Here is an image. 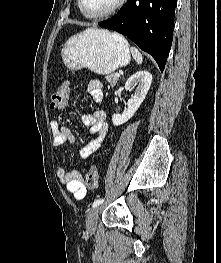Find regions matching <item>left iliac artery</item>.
Masks as SVG:
<instances>
[{
  "instance_id": "obj_1",
  "label": "left iliac artery",
  "mask_w": 221,
  "mask_h": 263,
  "mask_svg": "<svg viewBox=\"0 0 221 263\" xmlns=\"http://www.w3.org/2000/svg\"><path fill=\"white\" fill-rule=\"evenodd\" d=\"M104 199H97L93 202L92 207L99 206L101 203H103Z\"/></svg>"
}]
</instances>
